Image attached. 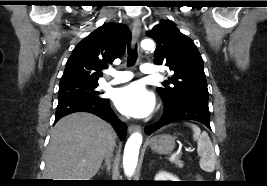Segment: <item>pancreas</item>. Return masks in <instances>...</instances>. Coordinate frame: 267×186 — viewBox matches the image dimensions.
Here are the masks:
<instances>
[{
    "label": "pancreas",
    "instance_id": "pancreas-1",
    "mask_svg": "<svg viewBox=\"0 0 267 186\" xmlns=\"http://www.w3.org/2000/svg\"><path fill=\"white\" fill-rule=\"evenodd\" d=\"M172 163H174L176 166H178L179 168H183L184 164L183 162L180 160L179 156H176L173 160H171Z\"/></svg>",
    "mask_w": 267,
    "mask_h": 186
}]
</instances>
